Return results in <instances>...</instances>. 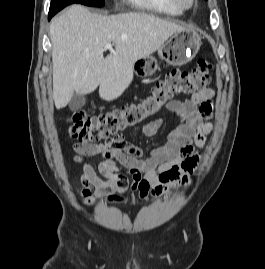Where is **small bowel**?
Returning a JSON list of instances; mask_svg holds the SVG:
<instances>
[{
    "mask_svg": "<svg viewBox=\"0 0 265 269\" xmlns=\"http://www.w3.org/2000/svg\"><path fill=\"white\" fill-rule=\"evenodd\" d=\"M215 91L205 88L189 99L173 100L166 107L177 119V126L169 133L167 141L146 151L136 146L123 135L102 143H73L76 159L102 157L98 165L101 179L93 166L83 164L80 196L87 205L98 199L119 203L121 194L131 190L145 196L149 186L186 188L192 182L191 175L199 163L198 149L205 144L206 135L212 126V99ZM164 117L153 119L139 128L141 137L154 136L165 124ZM120 164L122 167H119ZM127 174L132 176V182Z\"/></svg>",
    "mask_w": 265,
    "mask_h": 269,
    "instance_id": "obj_1",
    "label": "small bowel"
}]
</instances>
